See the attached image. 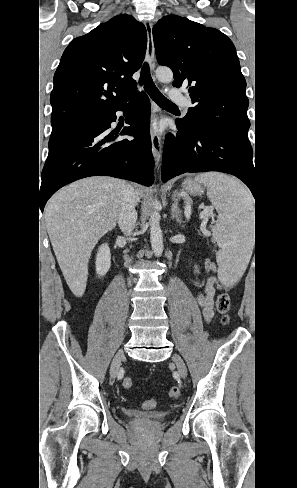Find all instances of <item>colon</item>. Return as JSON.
I'll return each mask as SVG.
<instances>
[{
    "label": "colon",
    "mask_w": 297,
    "mask_h": 488,
    "mask_svg": "<svg viewBox=\"0 0 297 488\" xmlns=\"http://www.w3.org/2000/svg\"><path fill=\"white\" fill-rule=\"evenodd\" d=\"M205 269L208 273H214L216 270V264L212 259L205 260ZM231 307V299L228 294L220 293L216 299L217 311L221 314V321L223 324H228L229 322V311ZM123 386L126 389H130L133 386L130 375L124 376ZM180 388L173 387L169 390V397L177 399L180 396ZM156 406L155 400H148L143 403V408L145 410H151Z\"/></svg>",
    "instance_id": "colon-1"
}]
</instances>
